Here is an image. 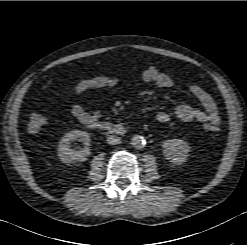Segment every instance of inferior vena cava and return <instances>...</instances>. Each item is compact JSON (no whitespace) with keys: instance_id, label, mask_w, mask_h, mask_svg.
I'll return each instance as SVG.
<instances>
[{"instance_id":"602c4592","label":"inferior vena cava","mask_w":247,"mask_h":245,"mask_svg":"<svg viewBox=\"0 0 247 245\" xmlns=\"http://www.w3.org/2000/svg\"><path fill=\"white\" fill-rule=\"evenodd\" d=\"M107 142L110 144V145H116V144H120L121 143V138L116 136V135H110L108 136L107 138Z\"/></svg>"}]
</instances>
